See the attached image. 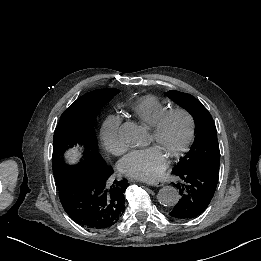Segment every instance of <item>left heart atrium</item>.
<instances>
[{
	"label": "left heart atrium",
	"instance_id": "1",
	"mask_svg": "<svg viewBox=\"0 0 261 261\" xmlns=\"http://www.w3.org/2000/svg\"><path fill=\"white\" fill-rule=\"evenodd\" d=\"M166 167L167 157L155 144L131 150L119 163L123 174L145 181L160 178Z\"/></svg>",
	"mask_w": 261,
	"mask_h": 261
}]
</instances>
